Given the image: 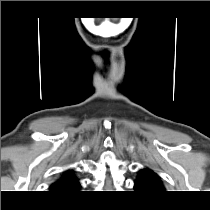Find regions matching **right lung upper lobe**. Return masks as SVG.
I'll use <instances>...</instances> for the list:
<instances>
[{"mask_svg":"<svg viewBox=\"0 0 210 210\" xmlns=\"http://www.w3.org/2000/svg\"><path fill=\"white\" fill-rule=\"evenodd\" d=\"M81 187L78 179L73 175L72 170L65 171L62 176L51 185L50 191L53 194H74Z\"/></svg>","mask_w":210,"mask_h":210,"instance_id":"1","label":"right lung upper lobe"}]
</instances>
